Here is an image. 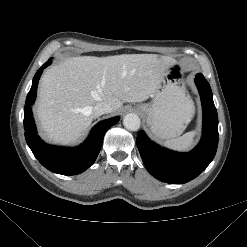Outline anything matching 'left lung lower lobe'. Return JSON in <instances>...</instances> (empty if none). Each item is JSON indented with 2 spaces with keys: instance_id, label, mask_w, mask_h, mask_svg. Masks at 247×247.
I'll return each mask as SVG.
<instances>
[{
  "instance_id": "obj_1",
  "label": "left lung lower lobe",
  "mask_w": 247,
  "mask_h": 247,
  "mask_svg": "<svg viewBox=\"0 0 247 247\" xmlns=\"http://www.w3.org/2000/svg\"><path fill=\"white\" fill-rule=\"evenodd\" d=\"M203 108V135L195 149L188 153L174 152L150 141L143 131L137 135V147L148 172L156 179L183 184L202 173L213 160L218 146V116L212 91L204 76L195 77Z\"/></svg>"
}]
</instances>
